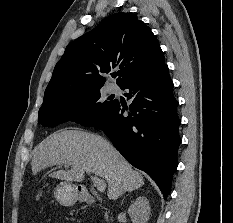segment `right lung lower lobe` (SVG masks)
<instances>
[{"label": "right lung lower lobe", "instance_id": "obj_1", "mask_svg": "<svg viewBox=\"0 0 233 223\" xmlns=\"http://www.w3.org/2000/svg\"><path fill=\"white\" fill-rule=\"evenodd\" d=\"M120 87L129 91L127 97L132 100L129 109L124 110L126 107L115 100L113 106L102 110L86 126L103 130L130 164L157 183L166 199L181 142L178 102L168 66L163 63Z\"/></svg>", "mask_w": 233, "mask_h": 223}]
</instances>
